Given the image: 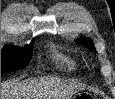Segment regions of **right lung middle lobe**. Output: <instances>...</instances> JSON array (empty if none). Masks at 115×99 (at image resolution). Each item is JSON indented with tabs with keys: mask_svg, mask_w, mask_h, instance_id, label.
Instances as JSON below:
<instances>
[{
	"mask_svg": "<svg viewBox=\"0 0 115 99\" xmlns=\"http://www.w3.org/2000/svg\"><path fill=\"white\" fill-rule=\"evenodd\" d=\"M33 41L24 48L4 47L1 52V75L10 71L20 70L28 65L33 51Z\"/></svg>",
	"mask_w": 115,
	"mask_h": 99,
	"instance_id": "1",
	"label": "right lung middle lobe"
}]
</instances>
